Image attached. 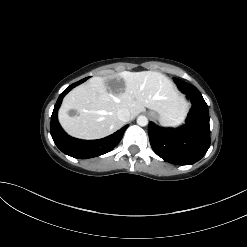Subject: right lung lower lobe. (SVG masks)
Masks as SVG:
<instances>
[{"label": "right lung lower lobe", "mask_w": 247, "mask_h": 247, "mask_svg": "<svg viewBox=\"0 0 247 247\" xmlns=\"http://www.w3.org/2000/svg\"><path fill=\"white\" fill-rule=\"evenodd\" d=\"M86 79L88 78L82 79L70 85L65 91L60 94L51 116L50 125V133L56 146L63 153L78 159L93 158L111 151L120 142L125 130L128 127V125H126L106 138L90 141L79 140L70 137L63 131L57 119V110L65 94H67L78 84L84 82Z\"/></svg>", "instance_id": "1"}]
</instances>
